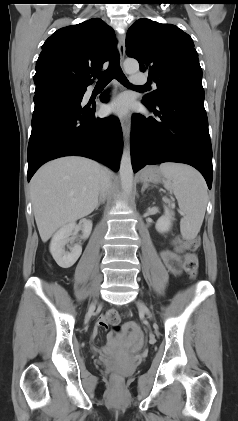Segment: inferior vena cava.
I'll use <instances>...</instances> for the list:
<instances>
[{"instance_id": "inferior-vena-cava-1", "label": "inferior vena cava", "mask_w": 238, "mask_h": 421, "mask_svg": "<svg viewBox=\"0 0 238 421\" xmlns=\"http://www.w3.org/2000/svg\"><path fill=\"white\" fill-rule=\"evenodd\" d=\"M100 198L105 197V192L110 186V173L106 168L100 166Z\"/></svg>"}]
</instances>
